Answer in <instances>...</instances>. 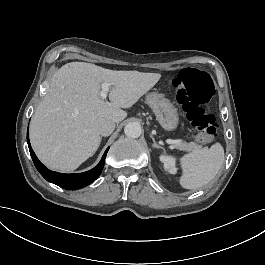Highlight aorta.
Wrapping results in <instances>:
<instances>
[{"label":"aorta","mask_w":265,"mask_h":265,"mask_svg":"<svg viewBox=\"0 0 265 265\" xmlns=\"http://www.w3.org/2000/svg\"><path fill=\"white\" fill-rule=\"evenodd\" d=\"M124 133L130 138H138L141 136V126L137 122L128 123L124 128Z\"/></svg>","instance_id":"obj_1"}]
</instances>
